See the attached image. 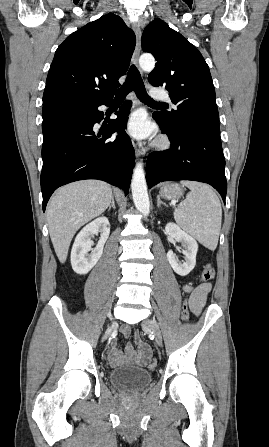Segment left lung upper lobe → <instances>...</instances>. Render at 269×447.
Here are the masks:
<instances>
[{
	"label": "left lung upper lobe",
	"instance_id": "obj_1",
	"mask_svg": "<svg viewBox=\"0 0 269 447\" xmlns=\"http://www.w3.org/2000/svg\"><path fill=\"white\" fill-rule=\"evenodd\" d=\"M142 48L157 63L149 74L153 86H164L177 105L171 112H155L169 127L206 129L220 134L215 89L201 53L160 19L142 34Z\"/></svg>",
	"mask_w": 269,
	"mask_h": 447
}]
</instances>
